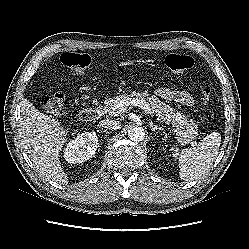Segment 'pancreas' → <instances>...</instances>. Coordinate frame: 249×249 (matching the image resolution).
Returning <instances> with one entry per match:
<instances>
[{
  "label": "pancreas",
  "instance_id": "pancreas-1",
  "mask_svg": "<svg viewBox=\"0 0 249 249\" xmlns=\"http://www.w3.org/2000/svg\"><path fill=\"white\" fill-rule=\"evenodd\" d=\"M133 97L144 100L151 107L153 113H156L159 120H162L167 124L171 123L174 127V132L178 136L177 141L182 145L190 143L197 138L198 125L194 123L192 119H188L183 113L176 111L159 100L155 95H150L148 92H133L130 95L123 94L108 98L104 102L101 112L105 115L116 116V111L114 110L116 104Z\"/></svg>",
  "mask_w": 249,
  "mask_h": 249
}]
</instances>
